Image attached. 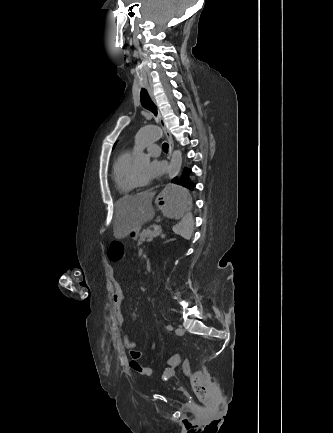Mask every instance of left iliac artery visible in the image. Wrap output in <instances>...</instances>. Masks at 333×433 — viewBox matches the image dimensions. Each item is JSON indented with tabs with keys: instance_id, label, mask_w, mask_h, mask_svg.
Returning a JSON list of instances; mask_svg holds the SVG:
<instances>
[{
	"instance_id": "1",
	"label": "left iliac artery",
	"mask_w": 333,
	"mask_h": 433,
	"mask_svg": "<svg viewBox=\"0 0 333 433\" xmlns=\"http://www.w3.org/2000/svg\"><path fill=\"white\" fill-rule=\"evenodd\" d=\"M166 328H167L168 331H172L173 330V327L171 325H167Z\"/></svg>"
}]
</instances>
